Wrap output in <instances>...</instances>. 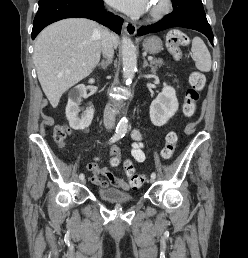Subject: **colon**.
Wrapping results in <instances>:
<instances>
[{
    "label": "colon",
    "instance_id": "5ec220e1",
    "mask_svg": "<svg viewBox=\"0 0 248 258\" xmlns=\"http://www.w3.org/2000/svg\"><path fill=\"white\" fill-rule=\"evenodd\" d=\"M188 42L187 36L181 31L174 30L171 31L167 39V47L171 54L176 58L182 56V47ZM205 85V77L203 73L197 70H192L189 75V87L186 90L185 100L183 104V114L187 118L194 116L196 112V105L199 101L201 91ZM70 134V129L67 125H58L54 129V140L60 144H65L68 136ZM177 133L175 131H170L166 135V144L161 151V156L164 159H169L174 152L175 144L177 142ZM110 164L117 169L120 163V151L121 145H112ZM134 158H124L121 161V168H124L127 176L130 178L131 184L134 187H140L142 183L146 180V175L137 174L135 172Z\"/></svg>",
    "mask_w": 248,
    "mask_h": 258
}]
</instances>
